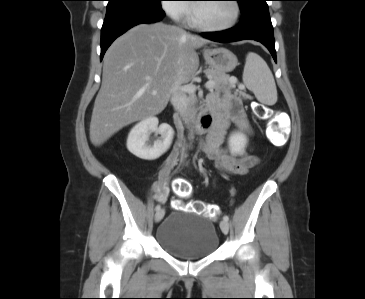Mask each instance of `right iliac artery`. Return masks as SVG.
Returning <instances> with one entry per match:
<instances>
[{
    "instance_id": "right-iliac-artery-1",
    "label": "right iliac artery",
    "mask_w": 365,
    "mask_h": 299,
    "mask_svg": "<svg viewBox=\"0 0 365 299\" xmlns=\"http://www.w3.org/2000/svg\"><path fill=\"white\" fill-rule=\"evenodd\" d=\"M160 208L161 206L159 204L155 207L156 211L160 210Z\"/></svg>"
}]
</instances>
